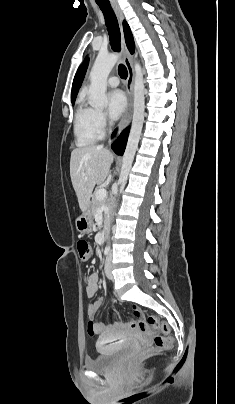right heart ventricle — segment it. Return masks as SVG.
<instances>
[{"label": "right heart ventricle", "instance_id": "right-heart-ventricle-1", "mask_svg": "<svg viewBox=\"0 0 235 404\" xmlns=\"http://www.w3.org/2000/svg\"><path fill=\"white\" fill-rule=\"evenodd\" d=\"M95 109L80 98L74 115V136L80 147L95 143L102 135L95 119Z\"/></svg>", "mask_w": 235, "mask_h": 404}]
</instances>
